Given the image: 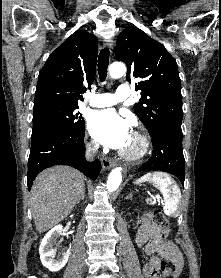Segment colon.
Segmentation results:
<instances>
[{
  "mask_svg": "<svg viewBox=\"0 0 221 278\" xmlns=\"http://www.w3.org/2000/svg\"><path fill=\"white\" fill-rule=\"evenodd\" d=\"M150 216L151 221L155 226L163 230H167L169 228L168 220L161 211L155 210ZM160 268L165 278H174L177 271L176 265L169 260L162 261Z\"/></svg>",
  "mask_w": 221,
  "mask_h": 278,
  "instance_id": "1",
  "label": "colon"
}]
</instances>
